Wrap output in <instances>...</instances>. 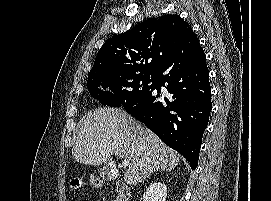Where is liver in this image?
Segmentation results:
<instances>
[{"label":"liver","mask_w":271,"mask_h":201,"mask_svg":"<svg viewBox=\"0 0 271 201\" xmlns=\"http://www.w3.org/2000/svg\"><path fill=\"white\" fill-rule=\"evenodd\" d=\"M71 153L76 162L92 166L107 162L112 155L127 158L124 181L133 186L156 170H173L180 162L156 134L116 108L88 112Z\"/></svg>","instance_id":"obj_1"}]
</instances>
